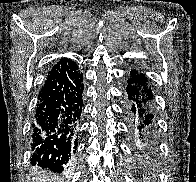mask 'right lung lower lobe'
I'll use <instances>...</instances> for the list:
<instances>
[{"label":"right lung lower lobe","mask_w":196,"mask_h":182,"mask_svg":"<svg viewBox=\"0 0 196 182\" xmlns=\"http://www.w3.org/2000/svg\"><path fill=\"white\" fill-rule=\"evenodd\" d=\"M83 86L82 73L73 60L59 62L48 73L32 124V165L55 172L64 170L77 144Z\"/></svg>","instance_id":"obj_1"}]
</instances>
